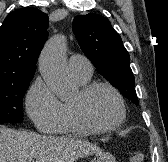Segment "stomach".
<instances>
[{
	"instance_id": "stomach-1",
	"label": "stomach",
	"mask_w": 168,
	"mask_h": 162,
	"mask_svg": "<svg viewBox=\"0 0 168 162\" xmlns=\"http://www.w3.org/2000/svg\"><path fill=\"white\" fill-rule=\"evenodd\" d=\"M91 162H116L115 157L108 152L96 153Z\"/></svg>"
}]
</instances>
